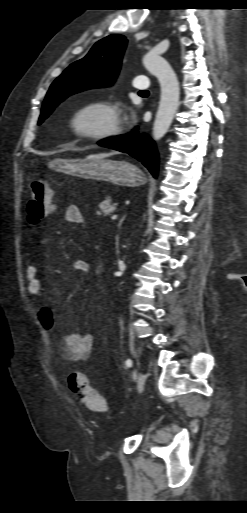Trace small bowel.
Segmentation results:
<instances>
[{
  "instance_id": "obj_1",
  "label": "small bowel",
  "mask_w": 247,
  "mask_h": 513,
  "mask_svg": "<svg viewBox=\"0 0 247 513\" xmlns=\"http://www.w3.org/2000/svg\"><path fill=\"white\" fill-rule=\"evenodd\" d=\"M64 220L69 223L82 225L84 219L80 209L76 205H69L64 212ZM43 243L48 244L49 239L43 238ZM74 270L87 272L89 265L84 261H76L73 264ZM28 292L34 296H41L44 285L41 279V269L37 265H30L27 268ZM36 317L41 325L48 331L55 333L60 340V352L62 357L70 362H81L89 358L94 337L90 333L67 332L61 329L56 322L55 309L50 306H43L36 312Z\"/></svg>"
}]
</instances>
